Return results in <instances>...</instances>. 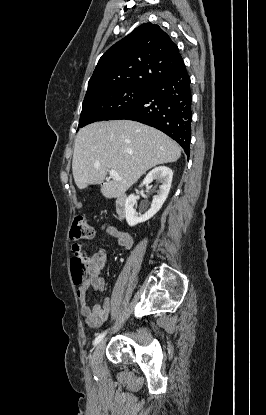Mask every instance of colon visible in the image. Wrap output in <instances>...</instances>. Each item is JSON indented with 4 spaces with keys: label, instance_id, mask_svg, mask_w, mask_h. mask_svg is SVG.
Returning a JSON list of instances; mask_svg holds the SVG:
<instances>
[{
    "label": "colon",
    "instance_id": "1",
    "mask_svg": "<svg viewBox=\"0 0 266 415\" xmlns=\"http://www.w3.org/2000/svg\"><path fill=\"white\" fill-rule=\"evenodd\" d=\"M95 231L93 226L89 223L86 217L76 216L73 220L70 230V237L72 240L90 239L94 236ZM71 258V270L74 282L80 284L83 281L86 271V264L81 255L80 249L73 251Z\"/></svg>",
    "mask_w": 266,
    "mask_h": 415
}]
</instances>
